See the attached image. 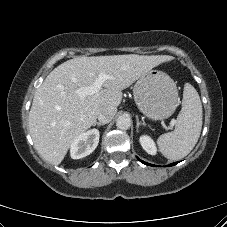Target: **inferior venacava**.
<instances>
[{
    "label": "inferior vena cava",
    "mask_w": 227,
    "mask_h": 227,
    "mask_svg": "<svg viewBox=\"0 0 227 227\" xmlns=\"http://www.w3.org/2000/svg\"><path fill=\"white\" fill-rule=\"evenodd\" d=\"M117 109L114 107H103L98 113V120L102 123H109L115 116Z\"/></svg>",
    "instance_id": "inferior-vena-cava-1"
}]
</instances>
